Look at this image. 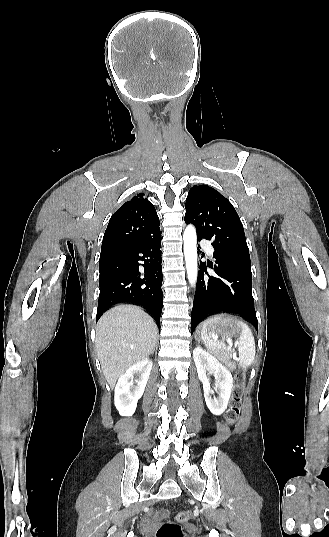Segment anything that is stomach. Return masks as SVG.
<instances>
[{
  "label": "stomach",
  "instance_id": "stomach-1",
  "mask_svg": "<svg viewBox=\"0 0 329 537\" xmlns=\"http://www.w3.org/2000/svg\"><path fill=\"white\" fill-rule=\"evenodd\" d=\"M241 322L231 315H217L201 325L200 338L202 339V335L220 337L223 340L236 337L242 332Z\"/></svg>",
  "mask_w": 329,
  "mask_h": 537
}]
</instances>
